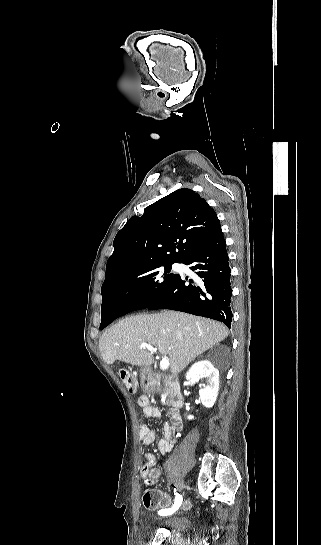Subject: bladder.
Here are the masks:
<instances>
[{
	"instance_id": "31cf9c89",
	"label": "bladder",
	"mask_w": 321,
	"mask_h": 545,
	"mask_svg": "<svg viewBox=\"0 0 321 545\" xmlns=\"http://www.w3.org/2000/svg\"><path fill=\"white\" fill-rule=\"evenodd\" d=\"M151 521L154 525L165 529L174 537L184 536L190 525L189 518L179 511L169 515L155 512L151 516Z\"/></svg>"
}]
</instances>
